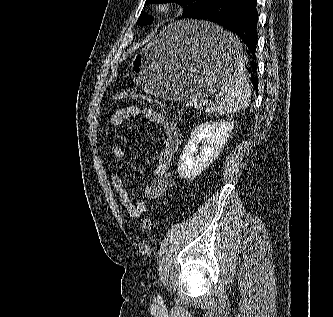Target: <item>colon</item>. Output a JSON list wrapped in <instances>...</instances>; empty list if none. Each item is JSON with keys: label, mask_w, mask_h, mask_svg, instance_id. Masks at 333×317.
<instances>
[{"label": "colon", "mask_w": 333, "mask_h": 317, "mask_svg": "<svg viewBox=\"0 0 333 317\" xmlns=\"http://www.w3.org/2000/svg\"><path fill=\"white\" fill-rule=\"evenodd\" d=\"M113 99L118 101V100H122V99H143L146 100L150 103L156 104V105H160V102L150 98L148 96H145L139 92H137L136 90L133 89H125L122 91H118L113 95ZM142 226L144 228L145 231H151L152 229V221L149 217L144 218L143 222H142Z\"/></svg>", "instance_id": "5ec220e1"}]
</instances>
